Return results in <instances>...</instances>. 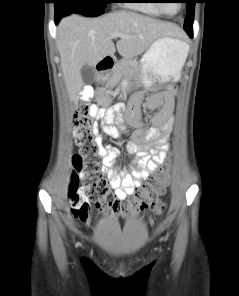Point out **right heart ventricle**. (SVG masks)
Here are the masks:
<instances>
[{
    "instance_id": "1",
    "label": "right heart ventricle",
    "mask_w": 239,
    "mask_h": 296,
    "mask_svg": "<svg viewBox=\"0 0 239 296\" xmlns=\"http://www.w3.org/2000/svg\"><path fill=\"white\" fill-rule=\"evenodd\" d=\"M135 2L128 5L149 15L162 16V12L158 9L154 0H137Z\"/></svg>"
}]
</instances>
